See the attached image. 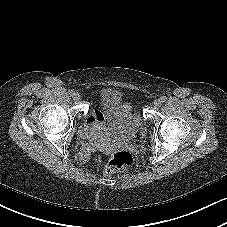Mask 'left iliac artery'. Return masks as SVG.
<instances>
[{"label":"left iliac artery","instance_id":"left-iliac-artery-1","mask_svg":"<svg viewBox=\"0 0 227 227\" xmlns=\"http://www.w3.org/2000/svg\"><path fill=\"white\" fill-rule=\"evenodd\" d=\"M160 100H161V102H166L167 97H166V96H162V97L160 98Z\"/></svg>","mask_w":227,"mask_h":227}]
</instances>
